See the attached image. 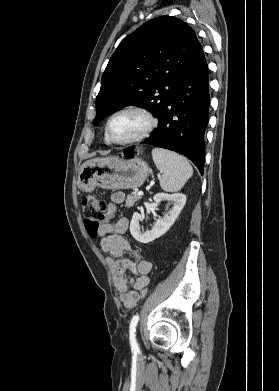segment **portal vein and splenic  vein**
I'll use <instances>...</instances> for the list:
<instances>
[{
	"instance_id": "1",
	"label": "portal vein and splenic vein",
	"mask_w": 279,
	"mask_h": 391,
	"mask_svg": "<svg viewBox=\"0 0 279 391\" xmlns=\"http://www.w3.org/2000/svg\"><path fill=\"white\" fill-rule=\"evenodd\" d=\"M137 194L138 195H143V192L142 191H138Z\"/></svg>"
}]
</instances>
